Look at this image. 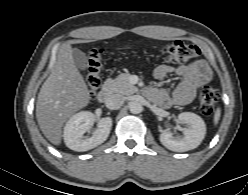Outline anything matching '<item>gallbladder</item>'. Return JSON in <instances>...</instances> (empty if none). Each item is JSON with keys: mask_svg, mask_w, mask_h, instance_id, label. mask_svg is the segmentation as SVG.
<instances>
[{"mask_svg": "<svg viewBox=\"0 0 248 195\" xmlns=\"http://www.w3.org/2000/svg\"><path fill=\"white\" fill-rule=\"evenodd\" d=\"M72 55H73V59H74L76 66L80 70H85L87 68V65H88V60H87L86 54L84 52H82L81 50L74 48L72 51Z\"/></svg>", "mask_w": 248, "mask_h": 195, "instance_id": "bac80fb5", "label": "gallbladder"}]
</instances>
